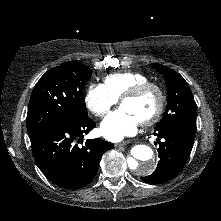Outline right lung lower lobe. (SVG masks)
I'll list each match as a JSON object with an SVG mask.
<instances>
[{"label": "right lung lower lobe", "mask_w": 221, "mask_h": 221, "mask_svg": "<svg viewBox=\"0 0 221 221\" xmlns=\"http://www.w3.org/2000/svg\"><path fill=\"white\" fill-rule=\"evenodd\" d=\"M94 127L92 119L80 116L65 126L30 135L35 161L51 182L65 189H77L94 178L102 155L114 147L99 138L78 145Z\"/></svg>", "instance_id": "right-lung-lower-lobe-1"}]
</instances>
